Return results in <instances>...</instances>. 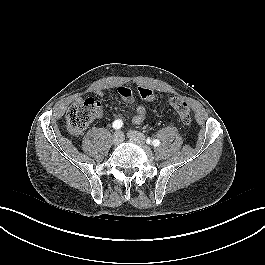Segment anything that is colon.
<instances>
[{
    "instance_id": "5ec220e1",
    "label": "colon",
    "mask_w": 265,
    "mask_h": 265,
    "mask_svg": "<svg viewBox=\"0 0 265 265\" xmlns=\"http://www.w3.org/2000/svg\"><path fill=\"white\" fill-rule=\"evenodd\" d=\"M137 93L140 99L152 101L155 98L154 92L144 86L137 87ZM170 106L176 111L181 122L189 125L192 121L189 104L179 97L169 99ZM101 114V104L94 100L88 99L83 103L71 106L66 114L67 129L73 136L82 134L87 126Z\"/></svg>"
}]
</instances>
